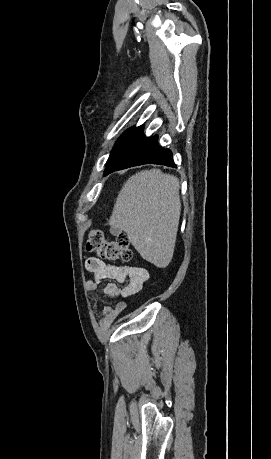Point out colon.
Masks as SVG:
<instances>
[{"label": "colon", "instance_id": "obj_1", "mask_svg": "<svg viewBox=\"0 0 271 459\" xmlns=\"http://www.w3.org/2000/svg\"><path fill=\"white\" fill-rule=\"evenodd\" d=\"M86 247L99 258L107 261H129L132 258L129 240L125 235L109 239L103 231L94 229L89 232Z\"/></svg>", "mask_w": 271, "mask_h": 459}]
</instances>
